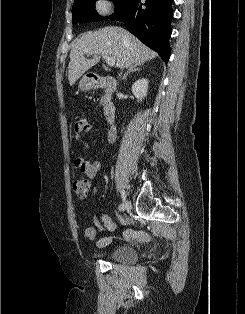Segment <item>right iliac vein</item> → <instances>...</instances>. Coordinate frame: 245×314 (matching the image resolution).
<instances>
[{"instance_id": "right-iliac-vein-1", "label": "right iliac vein", "mask_w": 245, "mask_h": 314, "mask_svg": "<svg viewBox=\"0 0 245 314\" xmlns=\"http://www.w3.org/2000/svg\"><path fill=\"white\" fill-rule=\"evenodd\" d=\"M128 205H129L128 201L126 199H124L121 210L124 211L125 209H127Z\"/></svg>"}]
</instances>
